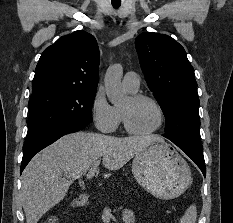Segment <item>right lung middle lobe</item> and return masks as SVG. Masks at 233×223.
<instances>
[{
	"label": "right lung middle lobe",
	"instance_id": "obj_1",
	"mask_svg": "<svg viewBox=\"0 0 233 223\" xmlns=\"http://www.w3.org/2000/svg\"><path fill=\"white\" fill-rule=\"evenodd\" d=\"M96 90L54 89L31 95L24 151L70 122H92Z\"/></svg>",
	"mask_w": 233,
	"mask_h": 223
}]
</instances>
